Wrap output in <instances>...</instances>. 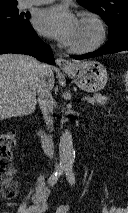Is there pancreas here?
<instances>
[{
	"instance_id": "obj_1",
	"label": "pancreas",
	"mask_w": 128,
	"mask_h": 213,
	"mask_svg": "<svg viewBox=\"0 0 128 213\" xmlns=\"http://www.w3.org/2000/svg\"><path fill=\"white\" fill-rule=\"evenodd\" d=\"M108 101V97L102 95H95L93 97H88V102L90 104H99L101 106L105 105Z\"/></svg>"
}]
</instances>
